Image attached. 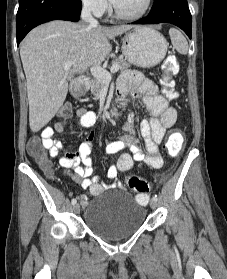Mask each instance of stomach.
<instances>
[{
  "label": "stomach",
  "mask_w": 227,
  "mask_h": 279,
  "mask_svg": "<svg viewBox=\"0 0 227 279\" xmlns=\"http://www.w3.org/2000/svg\"><path fill=\"white\" fill-rule=\"evenodd\" d=\"M168 43L163 35L149 27H136L122 38V53L132 64L151 68L165 57Z\"/></svg>",
  "instance_id": "stomach-1"
}]
</instances>
